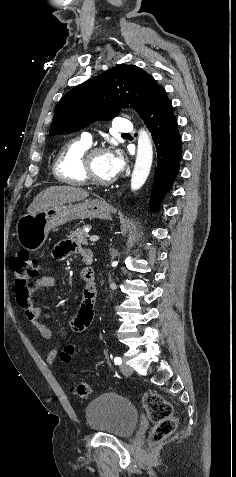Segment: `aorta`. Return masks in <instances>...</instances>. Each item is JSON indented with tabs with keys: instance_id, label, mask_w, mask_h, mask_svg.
Wrapping results in <instances>:
<instances>
[{
	"instance_id": "obj_1",
	"label": "aorta",
	"mask_w": 236,
	"mask_h": 477,
	"mask_svg": "<svg viewBox=\"0 0 236 477\" xmlns=\"http://www.w3.org/2000/svg\"><path fill=\"white\" fill-rule=\"evenodd\" d=\"M153 162V148L150 136L145 130L138 135L137 155L131 176V189H140L146 182Z\"/></svg>"
}]
</instances>
